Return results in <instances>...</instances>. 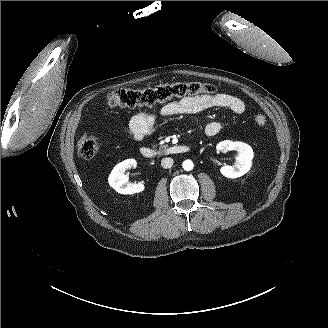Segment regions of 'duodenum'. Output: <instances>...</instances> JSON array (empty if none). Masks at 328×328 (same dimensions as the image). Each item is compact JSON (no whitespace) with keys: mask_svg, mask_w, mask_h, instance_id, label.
<instances>
[{"mask_svg":"<svg viewBox=\"0 0 328 328\" xmlns=\"http://www.w3.org/2000/svg\"><path fill=\"white\" fill-rule=\"evenodd\" d=\"M189 151V147L186 145H172L164 149H154L150 147H141L140 154L146 159H152L166 155H180Z\"/></svg>","mask_w":328,"mask_h":328,"instance_id":"1","label":"duodenum"}]
</instances>
